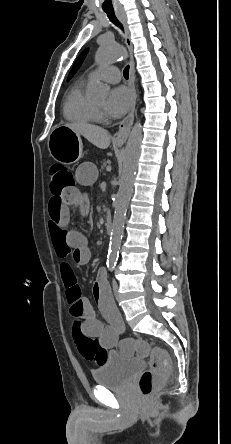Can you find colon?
Returning <instances> with one entry per match:
<instances>
[{"label": "colon", "mask_w": 231, "mask_h": 444, "mask_svg": "<svg viewBox=\"0 0 231 444\" xmlns=\"http://www.w3.org/2000/svg\"><path fill=\"white\" fill-rule=\"evenodd\" d=\"M50 192L51 198L58 199L63 193L74 185V177L71 171L62 164H54L50 168ZM73 339L79 354L96 365H102L108 355L98 340L86 336L81 330V320L75 318L73 324ZM123 347L136 355L149 359V368L145 370L138 381L139 391L143 396H149L160 387L170 371V359L167 353L157 347H151L144 340L127 338Z\"/></svg>", "instance_id": "obj_1"}]
</instances>
